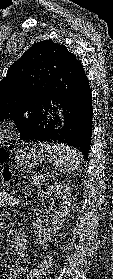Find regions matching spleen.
<instances>
[{
  "mask_svg": "<svg viewBox=\"0 0 113 279\" xmlns=\"http://www.w3.org/2000/svg\"><path fill=\"white\" fill-rule=\"evenodd\" d=\"M39 145L45 152L52 155L55 166L62 173H70L76 170L82 159L81 153L76 148L68 145L47 142H41Z\"/></svg>",
  "mask_w": 113,
  "mask_h": 279,
  "instance_id": "obj_1",
  "label": "spleen"
}]
</instances>
